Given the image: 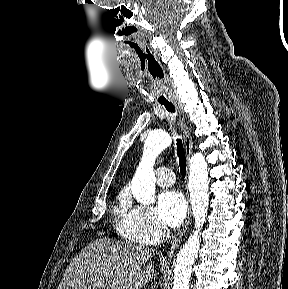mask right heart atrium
<instances>
[{"label":"right heart atrium","mask_w":288,"mask_h":289,"mask_svg":"<svg viewBox=\"0 0 288 289\" xmlns=\"http://www.w3.org/2000/svg\"><path fill=\"white\" fill-rule=\"evenodd\" d=\"M121 231L127 239L146 245L158 244L168 234L167 228L151 209L130 201L127 202L122 216Z\"/></svg>","instance_id":"right-heart-atrium-1"}]
</instances>
